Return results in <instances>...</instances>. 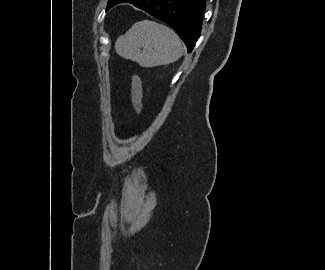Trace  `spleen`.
Wrapping results in <instances>:
<instances>
[{"mask_svg": "<svg viewBox=\"0 0 325 270\" xmlns=\"http://www.w3.org/2000/svg\"><path fill=\"white\" fill-rule=\"evenodd\" d=\"M115 50L121 57L150 68L175 62L182 56L184 48L175 31L160 23L143 20L118 37Z\"/></svg>", "mask_w": 325, "mask_h": 270, "instance_id": "3e777b00", "label": "spleen"}]
</instances>
